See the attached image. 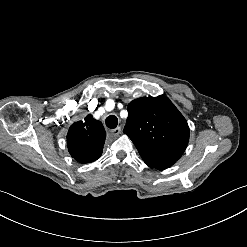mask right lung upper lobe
<instances>
[{
    "label": "right lung upper lobe",
    "instance_id": "obj_1",
    "mask_svg": "<svg viewBox=\"0 0 247 247\" xmlns=\"http://www.w3.org/2000/svg\"><path fill=\"white\" fill-rule=\"evenodd\" d=\"M105 136L102 123L89 114L85 122H75L69 128L67 134L69 153L80 163L93 162L102 154Z\"/></svg>",
    "mask_w": 247,
    "mask_h": 247
}]
</instances>
